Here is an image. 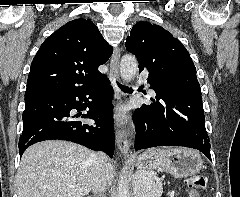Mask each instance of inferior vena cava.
<instances>
[{
    "label": "inferior vena cava",
    "instance_id": "inferior-vena-cava-1",
    "mask_svg": "<svg viewBox=\"0 0 240 197\" xmlns=\"http://www.w3.org/2000/svg\"><path fill=\"white\" fill-rule=\"evenodd\" d=\"M92 157L96 168L92 182V190L95 197H105V191L108 183L107 155L104 152H96Z\"/></svg>",
    "mask_w": 240,
    "mask_h": 197
}]
</instances>
